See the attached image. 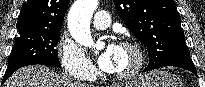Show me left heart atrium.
<instances>
[{
  "mask_svg": "<svg viewBox=\"0 0 205 87\" xmlns=\"http://www.w3.org/2000/svg\"><path fill=\"white\" fill-rule=\"evenodd\" d=\"M119 46L111 44L107 47L104 53L99 58V66L106 72H113L114 58Z\"/></svg>",
  "mask_w": 205,
  "mask_h": 87,
  "instance_id": "obj_1",
  "label": "left heart atrium"
}]
</instances>
